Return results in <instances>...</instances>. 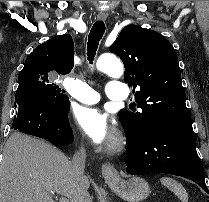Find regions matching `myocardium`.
<instances>
[{
    "label": "myocardium",
    "mask_w": 209,
    "mask_h": 202,
    "mask_svg": "<svg viewBox=\"0 0 209 202\" xmlns=\"http://www.w3.org/2000/svg\"><path fill=\"white\" fill-rule=\"evenodd\" d=\"M124 143V139L121 134H117L109 143L108 151L117 152L122 149Z\"/></svg>",
    "instance_id": "obj_1"
}]
</instances>
